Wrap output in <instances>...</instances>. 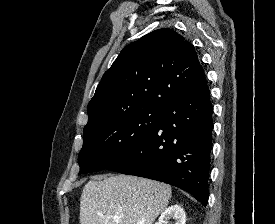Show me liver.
I'll use <instances>...</instances> for the list:
<instances>
[{"label":"liver","mask_w":275,"mask_h":224,"mask_svg":"<svg viewBox=\"0 0 275 224\" xmlns=\"http://www.w3.org/2000/svg\"><path fill=\"white\" fill-rule=\"evenodd\" d=\"M171 194L169 185L135 176L90 180L80 199V223L153 224L167 207ZM115 217L120 218L119 223Z\"/></svg>","instance_id":"1"}]
</instances>
